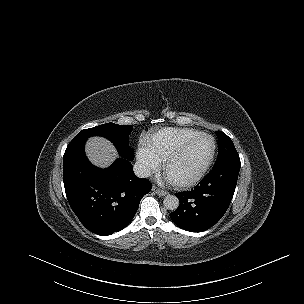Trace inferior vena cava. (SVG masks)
<instances>
[{
	"label": "inferior vena cava",
	"instance_id": "1",
	"mask_svg": "<svg viewBox=\"0 0 304 304\" xmlns=\"http://www.w3.org/2000/svg\"><path fill=\"white\" fill-rule=\"evenodd\" d=\"M134 173L139 178H147L151 175V170L145 164L136 162L133 166Z\"/></svg>",
	"mask_w": 304,
	"mask_h": 304
}]
</instances>
